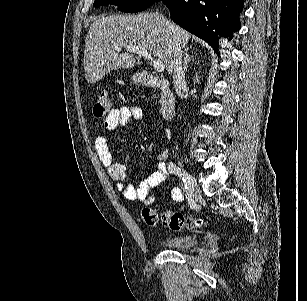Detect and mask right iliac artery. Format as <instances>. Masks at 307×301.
<instances>
[{
	"label": "right iliac artery",
	"instance_id": "1",
	"mask_svg": "<svg viewBox=\"0 0 307 301\" xmlns=\"http://www.w3.org/2000/svg\"><path fill=\"white\" fill-rule=\"evenodd\" d=\"M168 170L170 171V173L180 176L185 183V188H187L186 173L181 170V168H179L175 163L169 162Z\"/></svg>",
	"mask_w": 307,
	"mask_h": 301
}]
</instances>
